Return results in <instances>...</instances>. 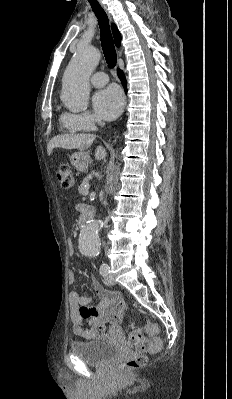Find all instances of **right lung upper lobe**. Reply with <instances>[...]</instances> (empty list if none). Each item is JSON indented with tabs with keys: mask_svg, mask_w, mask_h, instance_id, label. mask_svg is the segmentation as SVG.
I'll return each mask as SVG.
<instances>
[{
	"mask_svg": "<svg viewBox=\"0 0 232 399\" xmlns=\"http://www.w3.org/2000/svg\"><path fill=\"white\" fill-rule=\"evenodd\" d=\"M112 32H113L115 44L117 47H119L120 43H121V35H120V32L118 31L115 24H112Z\"/></svg>",
	"mask_w": 232,
	"mask_h": 399,
	"instance_id": "cb5924a9",
	"label": "right lung upper lobe"
}]
</instances>
